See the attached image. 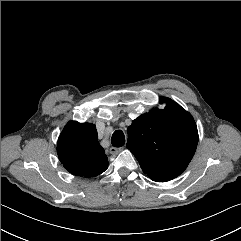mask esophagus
<instances>
[{
  "mask_svg": "<svg viewBox=\"0 0 241 241\" xmlns=\"http://www.w3.org/2000/svg\"><path fill=\"white\" fill-rule=\"evenodd\" d=\"M122 150H123L122 147H120V148L111 147V148L109 149V152H110L111 154L115 155V154H118L119 152H121Z\"/></svg>",
  "mask_w": 241,
  "mask_h": 241,
  "instance_id": "obj_1",
  "label": "esophagus"
}]
</instances>
